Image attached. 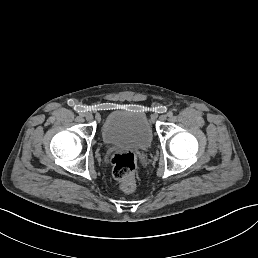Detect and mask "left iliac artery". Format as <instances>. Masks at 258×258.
Returning <instances> with one entry per match:
<instances>
[{
    "instance_id": "left-iliac-artery-1",
    "label": "left iliac artery",
    "mask_w": 258,
    "mask_h": 258,
    "mask_svg": "<svg viewBox=\"0 0 258 258\" xmlns=\"http://www.w3.org/2000/svg\"><path fill=\"white\" fill-rule=\"evenodd\" d=\"M173 114H174V113H173L172 111H168V112H167V116H168V117H172Z\"/></svg>"
}]
</instances>
